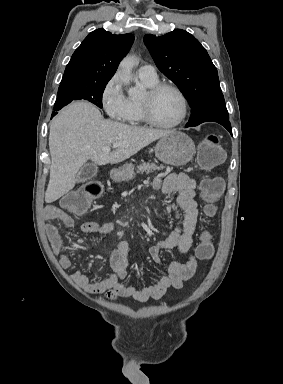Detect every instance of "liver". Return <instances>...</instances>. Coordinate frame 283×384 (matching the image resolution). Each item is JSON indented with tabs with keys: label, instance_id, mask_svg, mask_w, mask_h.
I'll return each instance as SVG.
<instances>
[{
	"label": "liver",
	"instance_id": "6515ba94",
	"mask_svg": "<svg viewBox=\"0 0 283 384\" xmlns=\"http://www.w3.org/2000/svg\"><path fill=\"white\" fill-rule=\"evenodd\" d=\"M172 134L171 130H151L104 120L97 106L79 100L63 108L52 120L49 150L52 160L46 204L59 200L76 184V174L91 160L97 166L128 160L151 142ZM120 144L114 152H102L104 146Z\"/></svg>",
	"mask_w": 283,
	"mask_h": 384
}]
</instances>
